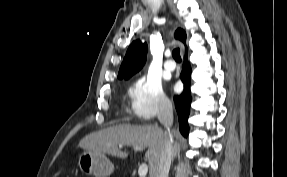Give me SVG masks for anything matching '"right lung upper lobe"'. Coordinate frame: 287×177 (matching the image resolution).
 <instances>
[{
  "mask_svg": "<svg viewBox=\"0 0 287 177\" xmlns=\"http://www.w3.org/2000/svg\"><path fill=\"white\" fill-rule=\"evenodd\" d=\"M175 38L182 41L184 44L186 42V34L182 29H177L175 32ZM147 44L146 42H141L140 40L133 41L129 46L123 62L120 66L118 78L128 79L134 73L139 71L146 60Z\"/></svg>",
  "mask_w": 287,
  "mask_h": 177,
  "instance_id": "cb5924a9",
  "label": "right lung upper lobe"
}]
</instances>
